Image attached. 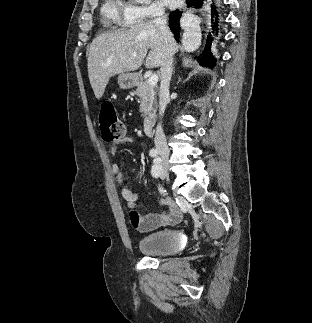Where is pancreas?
Returning <instances> with one entry per match:
<instances>
[{"label": "pancreas", "instance_id": "obj_1", "mask_svg": "<svg viewBox=\"0 0 312 323\" xmlns=\"http://www.w3.org/2000/svg\"><path fill=\"white\" fill-rule=\"evenodd\" d=\"M156 92L157 90H155L154 86H150L147 80L146 82H140L136 90V94L141 100L139 112H141L144 120L153 118L157 110Z\"/></svg>", "mask_w": 312, "mask_h": 323}]
</instances>
